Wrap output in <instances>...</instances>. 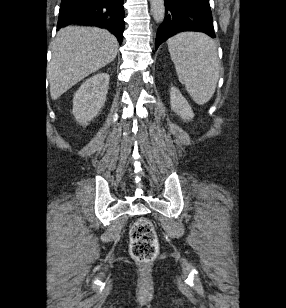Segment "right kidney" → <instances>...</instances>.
I'll return each instance as SVG.
<instances>
[{
	"mask_svg": "<svg viewBox=\"0 0 286 308\" xmlns=\"http://www.w3.org/2000/svg\"><path fill=\"white\" fill-rule=\"evenodd\" d=\"M110 76L99 73L87 79L73 97L72 113L76 121L86 125L96 117L106 101Z\"/></svg>",
	"mask_w": 286,
	"mask_h": 308,
	"instance_id": "ca27d5eb",
	"label": "right kidney"
}]
</instances>
